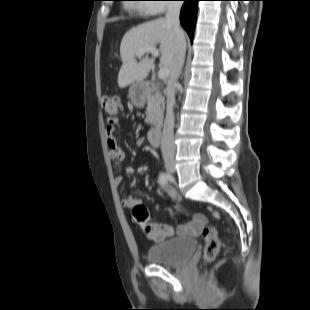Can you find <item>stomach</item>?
<instances>
[{"instance_id":"obj_1","label":"stomach","mask_w":310,"mask_h":310,"mask_svg":"<svg viewBox=\"0 0 310 310\" xmlns=\"http://www.w3.org/2000/svg\"><path fill=\"white\" fill-rule=\"evenodd\" d=\"M129 98L131 102L138 107H141L146 98V88L145 85L141 82H134L129 88Z\"/></svg>"}]
</instances>
